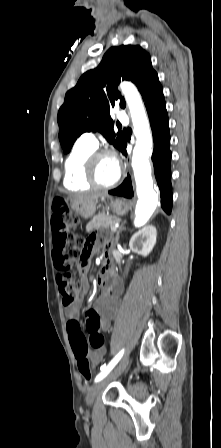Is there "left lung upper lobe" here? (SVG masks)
<instances>
[{"label":"left lung upper lobe","instance_id":"1","mask_svg":"<svg viewBox=\"0 0 221 448\" xmlns=\"http://www.w3.org/2000/svg\"><path fill=\"white\" fill-rule=\"evenodd\" d=\"M120 80H131L143 100L156 88L162 87L152 68L150 55L139 45L110 48L100 64L84 73L77 85L66 93L58 112L59 140L68 153L75 140L84 132L99 131L118 150L125 142L123 133L113 131L110 107L126 103L117 86Z\"/></svg>","mask_w":221,"mask_h":448}]
</instances>
